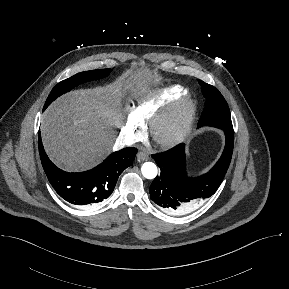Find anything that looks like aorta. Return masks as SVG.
I'll return each instance as SVG.
<instances>
[{"label":"aorta","mask_w":289,"mask_h":289,"mask_svg":"<svg viewBox=\"0 0 289 289\" xmlns=\"http://www.w3.org/2000/svg\"><path fill=\"white\" fill-rule=\"evenodd\" d=\"M142 174L147 179H154L157 176V166L152 162H145L141 167Z\"/></svg>","instance_id":"762f6f07"}]
</instances>
